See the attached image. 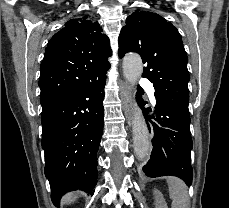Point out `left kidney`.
Here are the masks:
<instances>
[{"label":"left kidney","mask_w":229,"mask_h":208,"mask_svg":"<svg viewBox=\"0 0 229 208\" xmlns=\"http://www.w3.org/2000/svg\"><path fill=\"white\" fill-rule=\"evenodd\" d=\"M153 196L155 200V208H167L164 196L159 190H153Z\"/></svg>","instance_id":"obj_1"}]
</instances>
